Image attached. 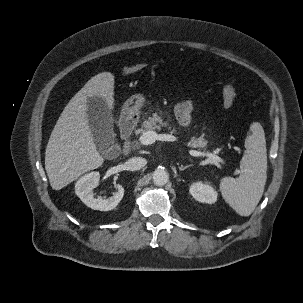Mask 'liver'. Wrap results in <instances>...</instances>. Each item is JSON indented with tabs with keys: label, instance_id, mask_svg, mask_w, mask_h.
Returning a JSON list of instances; mask_svg holds the SVG:
<instances>
[{
	"label": "liver",
	"instance_id": "6515ba94",
	"mask_svg": "<svg viewBox=\"0 0 303 303\" xmlns=\"http://www.w3.org/2000/svg\"><path fill=\"white\" fill-rule=\"evenodd\" d=\"M91 97L101 98L108 110H113L112 73L93 76L66 105L51 133L45 152V169L54 190H61L104 162L89 126L87 103Z\"/></svg>",
	"mask_w": 303,
	"mask_h": 303
}]
</instances>
